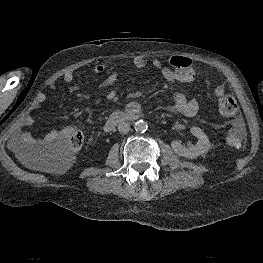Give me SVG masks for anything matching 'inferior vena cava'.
<instances>
[{
    "mask_svg": "<svg viewBox=\"0 0 263 263\" xmlns=\"http://www.w3.org/2000/svg\"><path fill=\"white\" fill-rule=\"evenodd\" d=\"M129 130H130V124L128 122H120L118 124V131L121 134H126L129 132Z\"/></svg>",
    "mask_w": 263,
    "mask_h": 263,
    "instance_id": "inferior-vena-cava-1",
    "label": "inferior vena cava"
}]
</instances>
